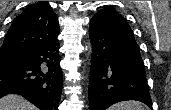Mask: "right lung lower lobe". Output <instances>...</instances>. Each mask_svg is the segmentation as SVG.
Returning <instances> with one entry per match:
<instances>
[{
	"label": "right lung lower lobe",
	"mask_w": 171,
	"mask_h": 110,
	"mask_svg": "<svg viewBox=\"0 0 171 110\" xmlns=\"http://www.w3.org/2000/svg\"><path fill=\"white\" fill-rule=\"evenodd\" d=\"M57 37L26 54V60L0 71V97L17 93L40 110H58L62 70Z\"/></svg>",
	"instance_id": "obj_1"
}]
</instances>
